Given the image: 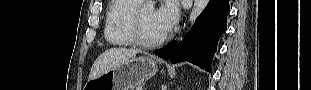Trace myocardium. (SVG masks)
Wrapping results in <instances>:
<instances>
[{"mask_svg":"<svg viewBox=\"0 0 311 90\" xmlns=\"http://www.w3.org/2000/svg\"><path fill=\"white\" fill-rule=\"evenodd\" d=\"M131 29L135 44L144 48H153L159 46L164 43L168 37V34L165 33L162 37L156 40H148L145 38L141 25V9H137L132 16Z\"/></svg>","mask_w":311,"mask_h":90,"instance_id":"obj_1","label":"myocardium"}]
</instances>
